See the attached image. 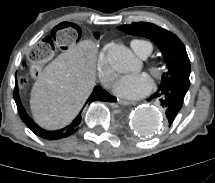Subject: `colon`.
Listing matches in <instances>:
<instances>
[{
    "instance_id": "1",
    "label": "colon",
    "mask_w": 215,
    "mask_h": 183,
    "mask_svg": "<svg viewBox=\"0 0 215 183\" xmlns=\"http://www.w3.org/2000/svg\"><path fill=\"white\" fill-rule=\"evenodd\" d=\"M80 25L74 20H63L51 32L37 37L29 48L25 66L27 72L33 77L46 76L52 67L53 60L60 56L64 50L70 49L81 39ZM25 84V79H21Z\"/></svg>"
}]
</instances>
